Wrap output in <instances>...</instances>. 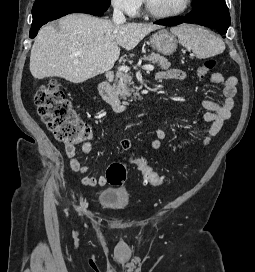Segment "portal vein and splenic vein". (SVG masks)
Segmentation results:
<instances>
[{
  "label": "portal vein and splenic vein",
  "instance_id": "18ae733b",
  "mask_svg": "<svg viewBox=\"0 0 255 272\" xmlns=\"http://www.w3.org/2000/svg\"><path fill=\"white\" fill-rule=\"evenodd\" d=\"M142 69L146 70V71H153L154 70V66L153 65H143ZM129 70V67L127 66H120L118 67V71H124L127 72Z\"/></svg>",
  "mask_w": 255,
  "mask_h": 272
}]
</instances>
